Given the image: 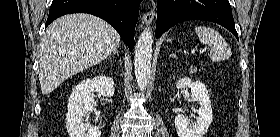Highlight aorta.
Segmentation results:
<instances>
[{
	"label": "aorta",
	"instance_id": "aorta-1",
	"mask_svg": "<svg viewBox=\"0 0 280 137\" xmlns=\"http://www.w3.org/2000/svg\"><path fill=\"white\" fill-rule=\"evenodd\" d=\"M153 32L148 27L140 34L135 46L134 69L137 85L145 90L150 78Z\"/></svg>",
	"mask_w": 280,
	"mask_h": 137
}]
</instances>
